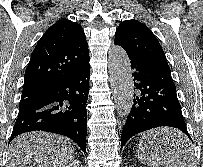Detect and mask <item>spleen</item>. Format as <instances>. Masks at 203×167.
Masks as SVG:
<instances>
[{"instance_id":"obj_1","label":"spleen","mask_w":203,"mask_h":167,"mask_svg":"<svg viewBox=\"0 0 203 167\" xmlns=\"http://www.w3.org/2000/svg\"><path fill=\"white\" fill-rule=\"evenodd\" d=\"M175 144L186 146L183 153L176 152L175 149H172V146H174ZM189 145L190 142L187 137L179 133L177 137H175L173 142H169V144L167 145L166 158L160 159L157 157L156 150L148 145L145 137L142 136L138 148V158L141 161H147V165L149 167H192L191 161L193 160V154L191 152V149L189 148ZM180 158L183 160H178ZM180 161L185 162V165L172 166V164H177Z\"/></svg>"}]
</instances>
